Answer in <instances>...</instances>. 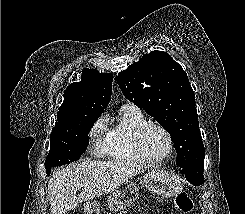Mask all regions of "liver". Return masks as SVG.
Here are the masks:
<instances>
[{"label":"liver","instance_id":"obj_1","mask_svg":"<svg viewBox=\"0 0 245 214\" xmlns=\"http://www.w3.org/2000/svg\"><path fill=\"white\" fill-rule=\"evenodd\" d=\"M140 169L125 161L86 160L57 170L48 182L52 214H63L82 202L94 199L120 187ZM86 184V186H81ZM82 187L78 196L76 192Z\"/></svg>","mask_w":245,"mask_h":214}]
</instances>
